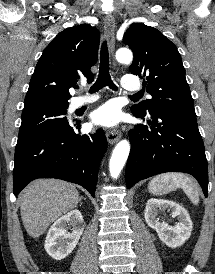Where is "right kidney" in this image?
<instances>
[{
    "mask_svg": "<svg viewBox=\"0 0 215 274\" xmlns=\"http://www.w3.org/2000/svg\"><path fill=\"white\" fill-rule=\"evenodd\" d=\"M67 226H72V232L66 231ZM84 230V220L79 210L68 212L54 222L48 231L45 240L46 252L56 260L67 257L76 247Z\"/></svg>",
    "mask_w": 215,
    "mask_h": 274,
    "instance_id": "1",
    "label": "right kidney"
}]
</instances>
